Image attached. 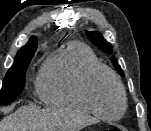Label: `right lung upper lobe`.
<instances>
[{
  "mask_svg": "<svg viewBox=\"0 0 151 131\" xmlns=\"http://www.w3.org/2000/svg\"><path fill=\"white\" fill-rule=\"evenodd\" d=\"M34 44H38V40H37V37H31L30 40L28 41V43L24 46H32Z\"/></svg>",
  "mask_w": 151,
  "mask_h": 131,
  "instance_id": "1",
  "label": "right lung upper lobe"
}]
</instances>
